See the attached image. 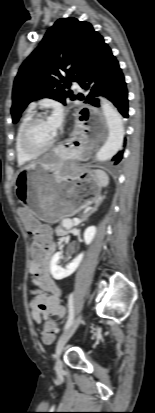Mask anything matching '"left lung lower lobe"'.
Returning <instances> with one entry per match:
<instances>
[{
  "label": "left lung lower lobe",
  "instance_id": "left-lung-lower-lobe-1",
  "mask_svg": "<svg viewBox=\"0 0 155 413\" xmlns=\"http://www.w3.org/2000/svg\"><path fill=\"white\" fill-rule=\"evenodd\" d=\"M80 86L88 92L85 103L98 107L99 103L96 97L105 96L113 102L124 118L128 117V92L124 75L108 45L105 46L91 69L82 78ZM123 152L124 150H120L112 158L114 165L122 160Z\"/></svg>",
  "mask_w": 155,
  "mask_h": 413
}]
</instances>
